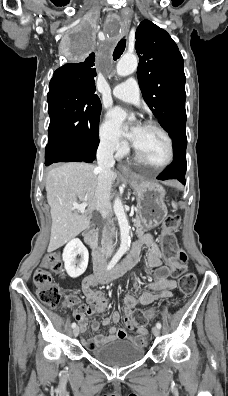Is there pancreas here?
Returning a JSON list of instances; mask_svg holds the SVG:
<instances>
[{
	"instance_id": "pancreas-1",
	"label": "pancreas",
	"mask_w": 228,
	"mask_h": 396,
	"mask_svg": "<svg viewBox=\"0 0 228 396\" xmlns=\"http://www.w3.org/2000/svg\"><path fill=\"white\" fill-rule=\"evenodd\" d=\"M133 223H134V226H135V229H136V232H137L138 236L141 237L142 235H144L145 231L142 229L141 223H139L137 215L133 216ZM112 234H114V230L113 229H111L110 231L109 230H104L103 233H102L101 244L103 245L105 243V240L107 239V237L109 235H112Z\"/></svg>"
}]
</instances>
